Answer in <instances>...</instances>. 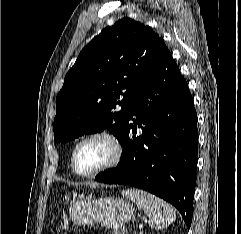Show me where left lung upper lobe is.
I'll list each match as a JSON object with an SVG mask.
<instances>
[{
	"mask_svg": "<svg viewBox=\"0 0 241 234\" xmlns=\"http://www.w3.org/2000/svg\"><path fill=\"white\" fill-rule=\"evenodd\" d=\"M165 49L151 27L130 18L103 29L65 76L56 98L54 140L108 129L122 144L130 103Z\"/></svg>",
	"mask_w": 241,
	"mask_h": 234,
	"instance_id": "1",
	"label": "left lung upper lobe"
}]
</instances>
